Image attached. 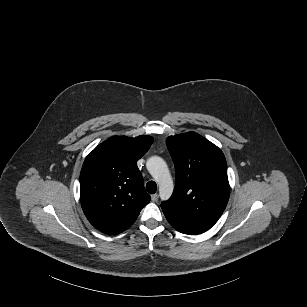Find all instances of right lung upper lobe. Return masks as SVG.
Returning a JSON list of instances; mask_svg holds the SVG:
<instances>
[{
  "label": "right lung upper lobe",
  "mask_w": 307,
  "mask_h": 307,
  "mask_svg": "<svg viewBox=\"0 0 307 307\" xmlns=\"http://www.w3.org/2000/svg\"><path fill=\"white\" fill-rule=\"evenodd\" d=\"M152 142L147 135L115 136L86 157L80 174L81 205L99 231L111 235L125 231L149 203L137 160Z\"/></svg>",
  "instance_id": "1"
}]
</instances>
